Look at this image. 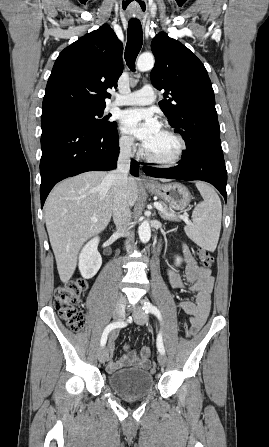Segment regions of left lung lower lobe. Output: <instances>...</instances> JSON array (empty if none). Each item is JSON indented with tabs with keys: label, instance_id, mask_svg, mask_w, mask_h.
Here are the masks:
<instances>
[{
	"label": "left lung lower lobe",
	"instance_id": "1",
	"mask_svg": "<svg viewBox=\"0 0 269 447\" xmlns=\"http://www.w3.org/2000/svg\"><path fill=\"white\" fill-rule=\"evenodd\" d=\"M143 171L152 177L209 182L219 190L227 201V171L222 149H204L194 156L182 158L176 167L160 169L144 166Z\"/></svg>",
	"mask_w": 269,
	"mask_h": 447
}]
</instances>
